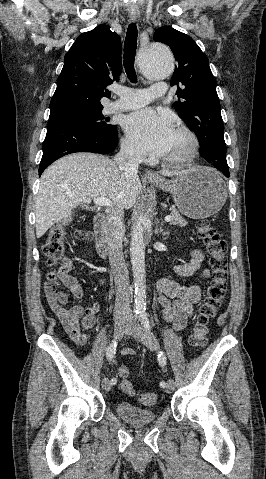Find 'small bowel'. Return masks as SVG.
I'll return each instance as SVG.
<instances>
[{"mask_svg": "<svg viewBox=\"0 0 266 479\" xmlns=\"http://www.w3.org/2000/svg\"><path fill=\"white\" fill-rule=\"evenodd\" d=\"M203 254L199 250L192 253L189 263L176 265L173 272L179 276L190 277L201 270ZM202 277H208L209 271L203 269ZM61 281L68 291H60L56 286L48 288L45 285V296L52 313L59 319L69 337L78 345H85L90 335V330L96 321V314L100 306L93 302L88 305H73L65 307L70 299V294L78 299H83L84 292L78 281L66 272L62 274ZM158 302L162 307V313L167 322H170L177 331L183 330L189 319L193 316V305L201 297L200 288L197 285H182L172 277L161 279L157 284ZM125 354L132 355L134 351L125 349Z\"/></svg>", "mask_w": 266, "mask_h": 479, "instance_id": "c3829d8e", "label": "small bowel"}]
</instances>
